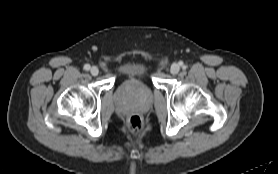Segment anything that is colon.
<instances>
[{"label": "colon", "mask_w": 278, "mask_h": 174, "mask_svg": "<svg viewBox=\"0 0 278 174\" xmlns=\"http://www.w3.org/2000/svg\"><path fill=\"white\" fill-rule=\"evenodd\" d=\"M127 125L133 132H138L143 127V120L139 115H132L127 119Z\"/></svg>", "instance_id": "colon-1"}]
</instances>
